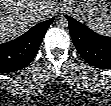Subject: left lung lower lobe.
Returning a JSON list of instances; mask_svg holds the SVG:
<instances>
[{"mask_svg":"<svg viewBox=\"0 0 111 106\" xmlns=\"http://www.w3.org/2000/svg\"><path fill=\"white\" fill-rule=\"evenodd\" d=\"M66 18L72 41L83 59L97 68H111V37L94 33L70 16Z\"/></svg>","mask_w":111,"mask_h":106,"instance_id":"1","label":"left lung lower lobe"}]
</instances>
